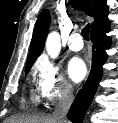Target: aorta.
I'll return each instance as SVG.
<instances>
[{
	"mask_svg": "<svg viewBox=\"0 0 118 123\" xmlns=\"http://www.w3.org/2000/svg\"><path fill=\"white\" fill-rule=\"evenodd\" d=\"M46 51L48 55L55 59L59 56L61 51V41H60V35L58 32L53 31L49 33L47 39H46Z\"/></svg>",
	"mask_w": 118,
	"mask_h": 123,
	"instance_id": "obj_1",
	"label": "aorta"
}]
</instances>
